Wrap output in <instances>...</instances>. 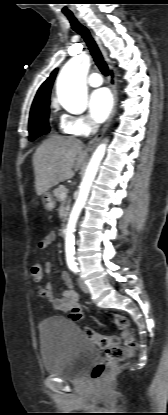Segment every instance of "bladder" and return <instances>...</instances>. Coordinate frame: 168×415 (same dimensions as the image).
<instances>
[{
	"label": "bladder",
	"mask_w": 168,
	"mask_h": 415,
	"mask_svg": "<svg viewBox=\"0 0 168 415\" xmlns=\"http://www.w3.org/2000/svg\"><path fill=\"white\" fill-rule=\"evenodd\" d=\"M41 354L45 371L62 379H78L97 356V348L75 322L52 316L40 324Z\"/></svg>",
	"instance_id": "1"
}]
</instances>
